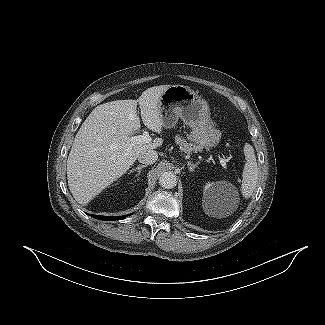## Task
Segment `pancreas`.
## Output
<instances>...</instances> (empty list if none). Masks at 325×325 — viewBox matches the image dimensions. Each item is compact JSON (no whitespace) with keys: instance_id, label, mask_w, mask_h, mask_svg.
Wrapping results in <instances>:
<instances>
[{"instance_id":"cf45deb5","label":"pancreas","mask_w":325,"mask_h":325,"mask_svg":"<svg viewBox=\"0 0 325 325\" xmlns=\"http://www.w3.org/2000/svg\"><path fill=\"white\" fill-rule=\"evenodd\" d=\"M175 142L182 148L185 153L196 152L200 149V147L193 145L192 143H188L185 139L181 138L179 135L175 136Z\"/></svg>"}]
</instances>
